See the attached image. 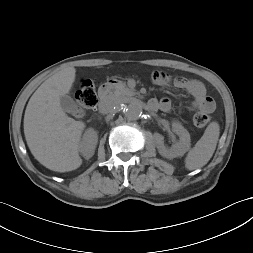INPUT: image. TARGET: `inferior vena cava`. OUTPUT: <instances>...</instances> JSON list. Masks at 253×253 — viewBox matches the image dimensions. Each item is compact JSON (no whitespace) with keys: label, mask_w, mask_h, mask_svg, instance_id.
<instances>
[{"label":"inferior vena cava","mask_w":253,"mask_h":253,"mask_svg":"<svg viewBox=\"0 0 253 253\" xmlns=\"http://www.w3.org/2000/svg\"><path fill=\"white\" fill-rule=\"evenodd\" d=\"M120 101L114 97H108L100 101L99 112L102 114H112L119 108Z\"/></svg>","instance_id":"obj_1"}]
</instances>
